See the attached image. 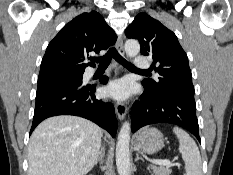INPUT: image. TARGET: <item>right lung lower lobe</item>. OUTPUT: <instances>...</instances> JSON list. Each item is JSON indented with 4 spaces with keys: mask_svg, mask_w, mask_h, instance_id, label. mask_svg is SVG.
Segmentation results:
<instances>
[{
    "mask_svg": "<svg viewBox=\"0 0 233 175\" xmlns=\"http://www.w3.org/2000/svg\"><path fill=\"white\" fill-rule=\"evenodd\" d=\"M102 84L108 77L100 79ZM96 85H59L37 91L36 106L30 134L44 119L57 115H75L89 119L107 130L112 137L117 132V119L112 103L96 99Z\"/></svg>",
    "mask_w": 233,
    "mask_h": 175,
    "instance_id": "right-lung-lower-lobe-1",
    "label": "right lung lower lobe"
}]
</instances>
